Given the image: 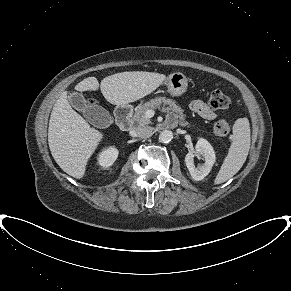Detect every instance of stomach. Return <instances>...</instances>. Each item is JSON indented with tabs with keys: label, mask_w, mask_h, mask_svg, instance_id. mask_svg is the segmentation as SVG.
<instances>
[{
	"label": "stomach",
	"mask_w": 291,
	"mask_h": 291,
	"mask_svg": "<svg viewBox=\"0 0 291 291\" xmlns=\"http://www.w3.org/2000/svg\"><path fill=\"white\" fill-rule=\"evenodd\" d=\"M164 85L172 96H181L187 91L188 81L184 74L176 72L166 77Z\"/></svg>",
	"instance_id": "obj_1"
}]
</instances>
